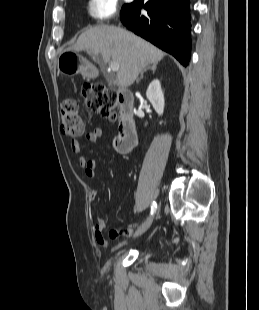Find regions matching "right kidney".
Here are the masks:
<instances>
[{"label":"right kidney","mask_w":259,"mask_h":310,"mask_svg":"<svg viewBox=\"0 0 259 310\" xmlns=\"http://www.w3.org/2000/svg\"><path fill=\"white\" fill-rule=\"evenodd\" d=\"M146 97L152 104L158 115H162L164 111V94L158 79L153 80L146 92Z\"/></svg>","instance_id":"obj_1"}]
</instances>
